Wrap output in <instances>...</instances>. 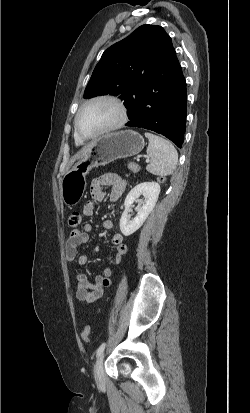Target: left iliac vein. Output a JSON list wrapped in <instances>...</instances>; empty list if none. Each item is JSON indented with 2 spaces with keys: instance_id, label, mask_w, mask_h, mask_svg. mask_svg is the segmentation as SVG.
<instances>
[{
  "instance_id": "4c4485c4",
  "label": "left iliac vein",
  "mask_w": 250,
  "mask_h": 413,
  "mask_svg": "<svg viewBox=\"0 0 250 413\" xmlns=\"http://www.w3.org/2000/svg\"><path fill=\"white\" fill-rule=\"evenodd\" d=\"M103 359L104 355H100L98 358L95 366H94V376L95 381L98 386H102L104 384V368H103Z\"/></svg>"
}]
</instances>
